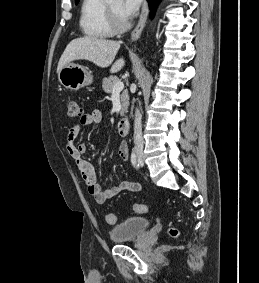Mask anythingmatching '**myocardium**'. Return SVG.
<instances>
[{
	"instance_id": "obj_1",
	"label": "myocardium",
	"mask_w": 259,
	"mask_h": 283,
	"mask_svg": "<svg viewBox=\"0 0 259 283\" xmlns=\"http://www.w3.org/2000/svg\"><path fill=\"white\" fill-rule=\"evenodd\" d=\"M106 8L110 20V24L115 32H122L129 26L128 21L124 16L119 14L111 5L110 2H106Z\"/></svg>"
}]
</instances>
